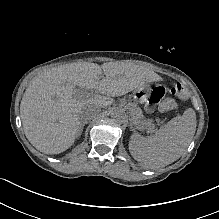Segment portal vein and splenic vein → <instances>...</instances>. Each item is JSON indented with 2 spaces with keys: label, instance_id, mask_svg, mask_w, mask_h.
Instances as JSON below:
<instances>
[{
  "label": "portal vein and splenic vein",
  "instance_id": "18ae733b",
  "mask_svg": "<svg viewBox=\"0 0 219 219\" xmlns=\"http://www.w3.org/2000/svg\"><path fill=\"white\" fill-rule=\"evenodd\" d=\"M86 95H87V96H88V95H91V93H88V94H86ZM84 96H85V95H83V94H76V95H75L76 98H83Z\"/></svg>",
  "mask_w": 219,
  "mask_h": 219
}]
</instances>
